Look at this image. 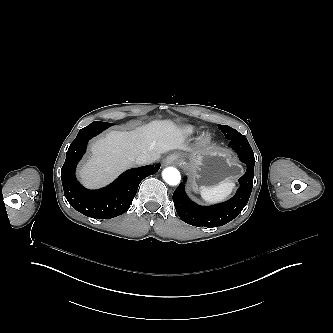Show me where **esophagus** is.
Listing matches in <instances>:
<instances>
[{"label": "esophagus", "instance_id": "esophagus-1", "mask_svg": "<svg viewBox=\"0 0 333 333\" xmlns=\"http://www.w3.org/2000/svg\"><path fill=\"white\" fill-rule=\"evenodd\" d=\"M179 158V154L178 153H173V154H170L168 155L165 159H164V162L166 164H172V163H175Z\"/></svg>", "mask_w": 333, "mask_h": 333}]
</instances>
